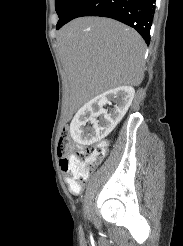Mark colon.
I'll use <instances>...</instances> for the list:
<instances>
[{
    "instance_id": "5ec220e1",
    "label": "colon",
    "mask_w": 183,
    "mask_h": 246,
    "mask_svg": "<svg viewBox=\"0 0 183 246\" xmlns=\"http://www.w3.org/2000/svg\"><path fill=\"white\" fill-rule=\"evenodd\" d=\"M72 149L70 130L63 128L58 142V153L61 157L60 166L70 179L71 189L79 191L88 175L89 167L104 157L107 144L100 142L76 153H72Z\"/></svg>"
}]
</instances>
